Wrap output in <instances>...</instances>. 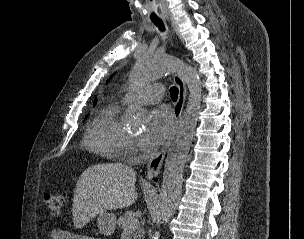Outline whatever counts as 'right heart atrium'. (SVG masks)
I'll list each match as a JSON object with an SVG mask.
<instances>
[{
  "label": "right heart atrium",
  "mask_w": 304,
  "mask_h": 239,
  "mask_svg": "<svg viewBox=\"0 0 304 239\" xmlns=\"http://www.w3.org/2000/svg\"><path fill=\"white\" fill-rule=\"evenodd\" d=\"M126 147L129 149L132 148V142L129 139L127 140Z\"/></svg>",
  "instance_id": "right-heart-atrium-1"
}]
</instances>
